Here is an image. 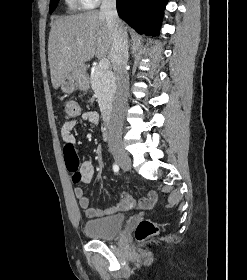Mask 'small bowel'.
Masks as SVG:
<instances>
[{"label": "small bowel", "mask_w": 247, "mask_h": 280, "mask_svg": "<svg viewBox=\"0 0 247 280\" xmlns=\"http://www.w3.org/2000/svg\"><path fill=\"white\" fill-rule=\"evenodd\" d=\"M81 122L87 125H97L99 123V116L95 111H86L81 114ZM77 125L75 118H68L61 129V136L65 145L75 146L76 139L73 134V130ZM79 171L81 173L82 183H90L94 177V166L91 162L85 161L80 165ZM77 201L82 209L85 211L87 218H100L104 216L113 215L122 211H126L133 207L150 208L154 205L157 199L155 192H149L147 196L143 197L140 201L135 200L127 193H119V202L116 205L110 206L105 209H95L89 207V198L86 191L81 187L80 189H74Z\"/></svg>", "instance_id": "1"}]
</instances>
